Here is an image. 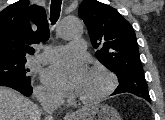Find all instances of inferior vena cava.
<instances>
[{"label": "inferior vena cava", "instance_id": "obj_1", "mask_svg": "<svg viewBox=\"0 0 165 120\" xmlns=\"http://www.w3.org/2000/svg\"><path fill=\"white\" fill-rule=\"evenodd\" d=\"M36 97L42 106L43 113L46 114L45 120H53L52 114L62 103V98L49 92H38Z\"/></svg>", "mask_w": 165, "mask_h": 120}]
</instances>
